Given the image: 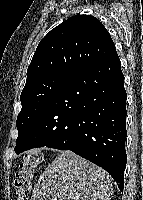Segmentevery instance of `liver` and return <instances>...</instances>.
Instances as JSON below:
<instances>
[{"label": "liver", "instance_id": "liver-1", "mask_svg": "<svg viewBox=\"0 0 143 200\" xmlns=\"http://www.w3.org/2000/svg\"><path fill=\"white\" fill-rule=\"evenodd\" d=\"M106 171L71 151H63L40 175L31 200H111Z\"/></svg>", "mask_w": 143, "mask_h": 200}]
</instances>
